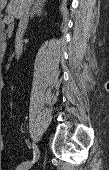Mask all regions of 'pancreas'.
Masks as SVG:
<instances>
[{
  "label": "pancreas",
  "instance_id": "cf45deb5",
  "mask_svg": "<svg viewBox=\"0 0 109 170\" xmlns=\"http://www.w3.org/2000/svg\"><path fill=\"white\" fill-rule=\"evenodd\" d=\"M5 32H6V30H5V23L4 22H2L1 23V41H2V45L3 46H5Z\"/></svg>",
  "mask_w": 109,
  "mask_h": 170
}]
</instances>
